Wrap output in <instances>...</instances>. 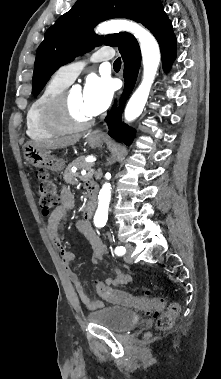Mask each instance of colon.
<instances>
[{"instance_id":"colon-1","label":"colon","mask_w":221,"mask_h":379,"mask_svg":"<svg viewBox=\"0 0 221 379\" xmlns=\"http://www.w3.org/2000/svg\"><path fill=\"white\" fill-rule=\"evenodd\" d=\"M39 206L42 214L50 215L57 208L59 196L54 181L45 170L37 172ZM98 294L106 301L143 311L147 314L158 315L157 328L160 331H167L172 328L174 320L180 311L177 303H172L166 310L165 301L160 297H153L149 293L134 296L129 293L114 290L109 286L99 283L97 285Z\"/></svg>"}]
</instances>
